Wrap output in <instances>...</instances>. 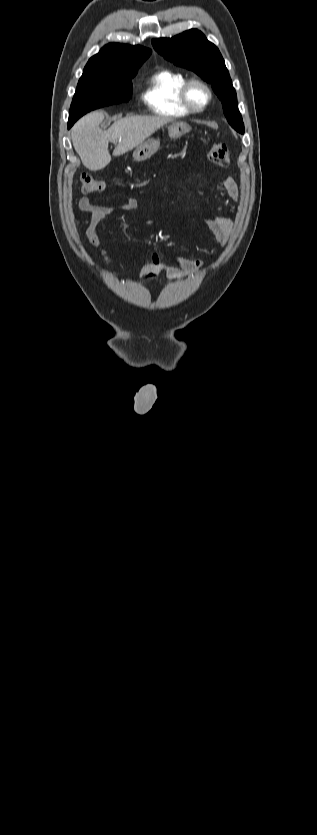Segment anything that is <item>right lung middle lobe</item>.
<instances>
[{
    "mask_svg": "<svg viewBox=\"0 0 317 835\" xmlns=\"http://www.w3.org/2000/svg\"><path fill=\"white\" fill-rule=\"evenodd\" d=\"M137 69L103 74H83L78 82L69 112L68 128L87 112L111 104L127 102Z\"/></svg>",
    "mask_w": 317,
    "mask_h": 835,
    "instance_id": "dd1d6c3e",
    "label": "right lung middle lobe"
}]
</instances>
